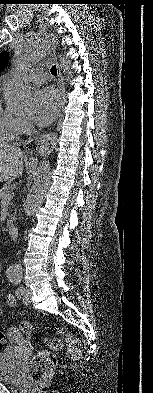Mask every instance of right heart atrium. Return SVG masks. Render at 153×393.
I'll return each instance as SVG.
<instances>
[{"label":"right heart atrium","instance_id":"d8ad5b80","mask_svg":"<svg viewBox=\"0 0 153 393\" xmlns=\"http://www.w3.org/2000/svg\"><path fill=\"white\" fill-rule=\"evenodd\" d=\"M33 130L31 123L27 120H21V133L28 134Z\"/></svg>","mask_w":153,"mask_h":393}]
</instances>
